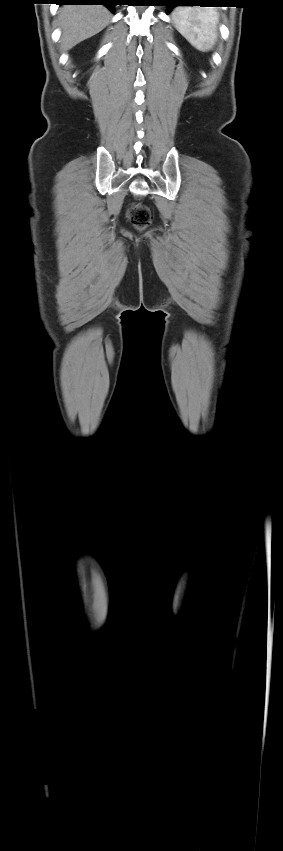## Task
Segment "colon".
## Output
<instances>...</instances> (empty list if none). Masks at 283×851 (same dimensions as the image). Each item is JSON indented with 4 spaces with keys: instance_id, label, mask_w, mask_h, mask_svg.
<instances>
[{
    "instance_id": "obj_1",
    "label": "colon",
    "mask_w": 283,
    "mask_h": 851,
    "mask_svg": "<svg viewBox=\"0 0 283 851\" xmlns=\"http://www.w3.org/2000/svg\"><path fill=\"white\" fill-rule=\"evenodd\" d=\"M128 217L133 225L138 229L147 227L151 220L152 214L148 207L141 204H134L128 209Z\"/></svg>"
}]
</instances>
